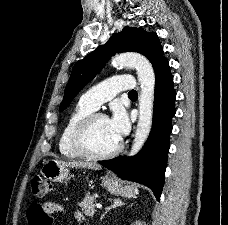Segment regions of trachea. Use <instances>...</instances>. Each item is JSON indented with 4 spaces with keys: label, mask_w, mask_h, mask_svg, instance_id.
<instances>
[{
    "label": "trachea",
    "mask_w": 228,
    "mask_h": 225,
    "mask_svg": "<svg viewBox=\"0 0 228 225\" xmlns=\"http://www.w3.org/2000/svg\"><path fill=\"white\" fill-rule=\"evenodd\" d=\"M137 92L135 90H131L128 94V96H136Z\"/></svg>",
    "instance_id": "obj_1"
}]
</instances>
